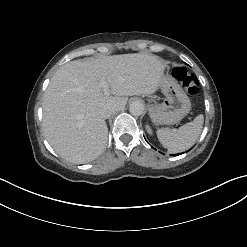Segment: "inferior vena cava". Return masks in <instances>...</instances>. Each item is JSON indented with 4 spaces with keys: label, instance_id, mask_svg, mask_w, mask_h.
<instances>
[{
    "label": "inferior vena cava",
    "instance_id": "602c4592",
    "mask_svg": "<svg viewBox=\"0 0 247 247\" xmlns=\"http://www.w3.org/2000/svg\"><path fill=\"white\" fill-rule=\"evenodd\" d=\"M117 110L114 106H106L101 110V115L104 119L109 118Z\"/></svg>",
    "mask_w": 247,
    "mask_h": 247
}]
</instances>
